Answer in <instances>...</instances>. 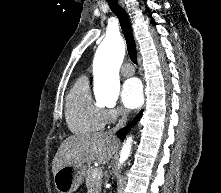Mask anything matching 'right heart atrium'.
I'll return each mask as SVG.
<instances>
[{
	"mask_svg": "<svg viewBox=\"0 0 221 193\" xmlns=\"http://www.w3.org/2000/svg\"><path fill=\"white\" fill-rule=\"evenodd\" d=\"M125 116V111L121 108H108L105 110V123L111 124L117 122Z\"/></svg>",
	"mask_w": 221,
	"mask_h": 193,
	"instance_id": "right-heart-atrium-1",
	"label": "right heart atrium"
}]
</instances>
